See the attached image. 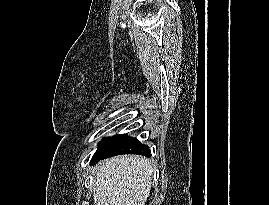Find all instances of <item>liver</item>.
<instances>
[{
    "mask_svg": "<svg viewBox=\"0 0 269 205\" xmlns=\"http://www.w3.org/2000/svg\"><path fill=\"white\" fill-rule=\"evenodd\" d=\"M153 166L147 158L122 155L99 163L94 178L95 205H145Z\"/></svg>",
    "mask_w": 269,
    "mask_h": 205,
    "instance_id": "obj_1",
    "label": "liver"
}]
</instances>
